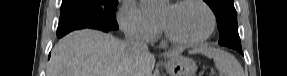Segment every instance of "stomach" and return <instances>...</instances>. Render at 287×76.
Here are the masks:
<instances>
[{"label": "stomach", "instance_id": "0dacf381", "mask_svg": "<svg viewBox=\"0 0 287 76\" xmlns=\"http://www.w3.org/2000/svg\"><path fill=\"white\" fill-rule=\"evenodd\" d=\"M166 70L169 76H194L197 65L188 57L175 56L168 60Z\"/></svg>", "mask_w": 287, "mask_h": 76}]
</instances>
